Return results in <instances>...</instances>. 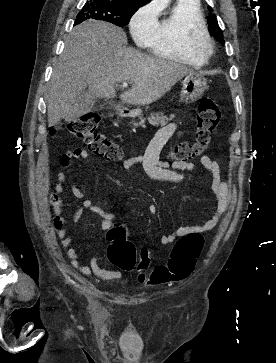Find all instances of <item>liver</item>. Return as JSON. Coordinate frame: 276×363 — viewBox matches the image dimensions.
Masks as SVG:
<instances>
[{
    "mask_svg": "<svg viewBox=\"0 0 276 363\" xmlns=\"http://www.w3.org/2000/svg\"><path fill=\"white\" fill-rule=\"evenodd\" d=\"M126 43L121 28L103 21L88 20L73 28L49 83V127L71 113L75 99L86 88L93 97L112 99L116 95L114 85L129 82L133 86L120 95L121 101L147 105L195 73L186 65L128 48Z\"/></svg>",
    "mask_w": 276,
    "mask_h": 363,
    "instance_id": "obj_1",
    "label": "liver"
}]
</instances>
